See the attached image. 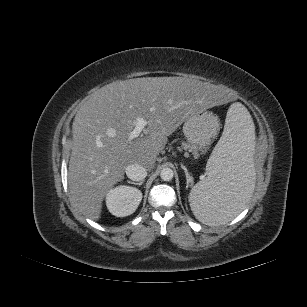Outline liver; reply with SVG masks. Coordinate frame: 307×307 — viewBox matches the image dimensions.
Wrapping results in <instances>:
<instances>
[{
    "mask_svg": "<svg viewBox=\"0 0 307 307\" xmlns=\"http://www.w3.org/2000/svg\"><path fill=\"white\" fill-rule=\"evenodd\" d=\"M227 89L182 77H143L95 90L80 106L72 125L68 185L78 210L99 220L109 190L130 164L155 166L168 137L197 111L224 106ZM138 117L148 121L129 140Z\"/></svg>",
    "mask_w": 307,
    "mask_h": 307,
    "instance_id": "liver-1",
    "label": "liver"
}]
</instances>
